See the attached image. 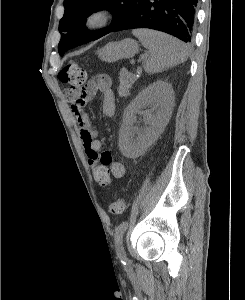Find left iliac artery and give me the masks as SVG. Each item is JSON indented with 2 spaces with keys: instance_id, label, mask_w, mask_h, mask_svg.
<instances>
[{
  "instance_id": "left-iliac-artery-1",
  "label": "left iliac artery",
  "mask_w": 245,
  "mask_h": 300,
  "mask_svg": "<svg viewBox=\"0 0 245 300\" xmlns=\"http://www.w3.org/2000/svg\"><path fill=\"white\" fill-rule=\"evenodd\" d=\"M127 227H128V222L124 221L116 228V233H115V246L117 249L118 256L120 257L121 262L123 264H126V257L124 253V248L122 246V239Z\"/></svg>"
}]
</instances>
